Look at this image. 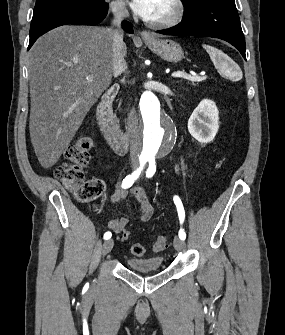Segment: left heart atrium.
<instances>
[{
    "instance_id": "39dd6f15",
    "label": "left heart atrium",
    "mask_w": 285,
    "mask_h": 335,
    "mask_svg": "<svg viewBox=\"0 0 285 335\" xmlns=\"http://www.w3.org/2000/svg\"><path fill=\"white\" fill-rule=\"evenodd\" d=\"M135 14L144 22L152 23L156 11V1H129Z\"/></svg>"
}]
</instances>
